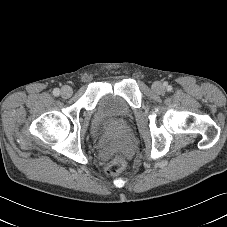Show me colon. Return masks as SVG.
Masks as SVG:
<instances>
[{
  "label": "colon",
  "mask_w": 227,
  "mask_h": 227,
  "mask_svg": "<svg viewBox=\"0 0 227 227\" xmlns=\"http://www.w3.org/2000/svg\"><path fill=\"white\" fill-rule=\"evenodd\" d=\"M125 168V161L120 155H114L106 165L105 172L109 176L121 173Z\"/></svg>",
  "instance_id": "colon-1"
}]
</instances>
